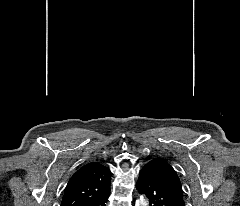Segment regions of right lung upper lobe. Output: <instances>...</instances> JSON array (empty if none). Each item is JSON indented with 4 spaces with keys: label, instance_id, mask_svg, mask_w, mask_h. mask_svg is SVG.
I'll return each instance as SVG.
<instances>
[{
    "label": "right lung upper lobe",
    "instance_id": "right-lung-upper-lobe-1",
    "mask_svg": "<svg viewBox=\"0 0 240 206\" xmlns=\"http://www.w3.org/2000/svg\"><path fill=\"white\" fill-rule=\"evenodd\" d=\"M110 180L107 167L98 162L86 164L70 178L61 206H84L109 192Z\"/></svg>",
    "mask_w": 240,
    "mask_h": 206
}]
</instances>
